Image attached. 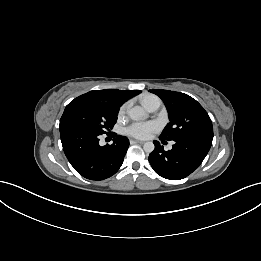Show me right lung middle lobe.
Returning a JSON list of instances; mask_svg holds the SVG:
<instances>
[{
  "label": "right lung middle lobe",
  "instance_id": "1",
  "mask_svg": "<svg viewBox=\"0 0 261 261\" xmlns=\"http://www.w3.org/2000/svg\"><path fill=\"white\" fill-rule=\"evenodd\" d=\"M118 112L119 107L106 98L88 92L66 106L60 119V129H86L102 135L114 126Z\"/></svg>",
  "mask_w": 261,
  "mask_h": 261
}]
</instances>
